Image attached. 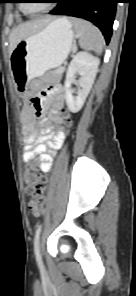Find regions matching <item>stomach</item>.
Here are the masks:
<instances>
[{"label": "stomach", "instance_id": "stomach-1", "mask_svg": "<svg viewBox=\"0 0 136 296\" xmlns=\"http://www.w3.org/2000/svg\"><path fill=\"white\" fill-rule=\"evenodd\" d=\"M73 36L72 24L61 17L16 45L10 62L19 94L28 90L26 82L42 77L65 61L72 48Z\"/></svg>", "mask_w": 136, "mask_h": 296}]
</instances>
